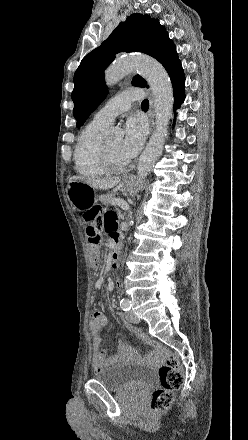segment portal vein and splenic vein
I'll return each instance as SVG.
<instances>
[{"label":"portal vein and splenic vein","mask_w":248,"mask_h":440,"mask_svg":"<svg viewBox=\"0 0 248 440\" xmlns=\"http://www.w3.org/2000/svg\"><path fill=\"white\" fill-rule=\"evenodd\" d=\"M112 204L113 205H118L119 207H121L122 209H128V204L126 201L122 200V199H114L112 200Z\"/></svg>","instance_id":"obj_1"}]
</instances>
